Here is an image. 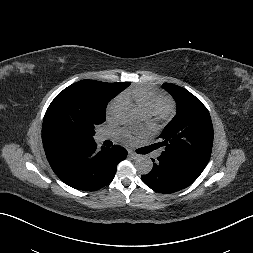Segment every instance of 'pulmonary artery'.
<instances>
[{"mask_svg": "<svg viewBox=\"0 0 253 253\" xmlns=\"http://www.w3.org/2000/svg\"><path fill=\"white\" fill-rule=\"evenodd\" d=\"M144 115H145V117L149 116L148 114H144ZM108 139H110V136L108 134H106V133H102V134H99L97 136V140L99 142H103V141L108 140Z\"/></svg>", "mask_w": 253, "mask_h": 253, "instance_id": "pulmonary-artery-1", "label": "pulmonary artery"}]
</instances>
